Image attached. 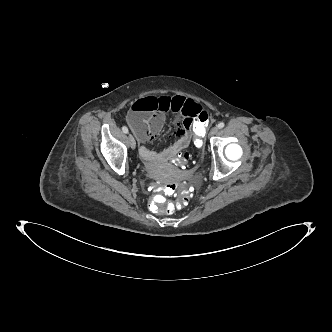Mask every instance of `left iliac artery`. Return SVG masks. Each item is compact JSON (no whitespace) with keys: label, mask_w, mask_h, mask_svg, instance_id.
Segmentation results:
<instances>
[{"label":"left iliac artery","mask_w":332,"mask_h":332,"mask_svg":"<svg viewBox=\"0 0 332 332\" xmlns=\"http://www.w3.org/2000/svg\"><path fill=\"white\" fill-rule=\"evenodd\" d=\"M224 126H225V124H224L223 122H220V123L217 125V127H218L219 129L223 128Z\"/></svg>","instance_id":"1"}]
</instances>
